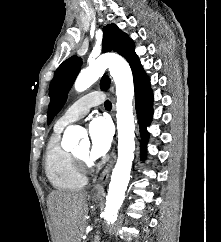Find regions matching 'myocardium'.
<instances>
[{
    "label": "myocardium",
    "mask_w": 221,
    "mask_h": 242,
    "mask_svg": "<svg viewBox=\"0 0 221 242\" xmlns=\"http://www.w3.org/2000/svg\"><path fill=\"white\" fill-rule=\"evenodd\" d=\"M75 159L77 160V162L79 163V165L82 167V169L85 166H89L90 165V161L88 159V157H81L77 154H74Z\"/></svg>",
    "instance_id": "obj_1"
}]
</instances>
